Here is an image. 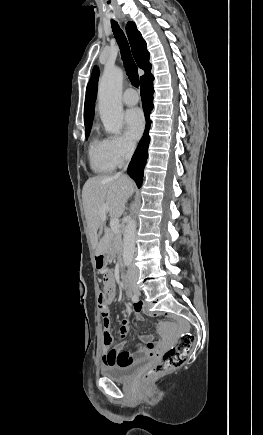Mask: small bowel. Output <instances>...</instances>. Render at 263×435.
<instances>
[{"label": "small bowel", "instance_id": "obj_1", "mask_svg": "<svg viewBox=\"0 0 263 435\" xmlns=\"http://www.w3.org/2000/svg\"><path fill=\"white\" fill-rule=\"evenodd\" d=\"M104 282V299L100 304L102 326L103 328H110L111 317L109 306L114 301L117 290L114 280V275L111 271H107L103 277ZM144 307L141 302L134 305L133 313L130 318H125L119 328V335L124 341L115 346L114 350H103V363L105 366L112 365H127L139 361L146 357H154L160 354L166 346L168 341H155L151 335H142L141 339L143 345L138 346L134 351H125L123 348L126 344V337L129 333V321L130 319L135 321H142Z\"/></svg>", "mask_w": 263, "mask_h": 435}]
</instances>
